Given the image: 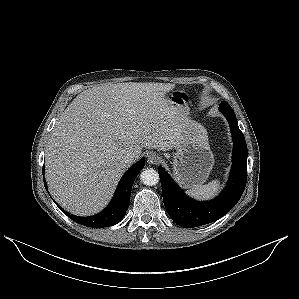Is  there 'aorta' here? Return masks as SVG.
<instances>
[{"label":"aorta","instance_id":"1","mask_svg":"<svg viewBox=\"0 0 299 299\" xmlns=\"http://www.w3.org/2000/svg\"><path fill=\"white\" fill-rule=\"evenodd\" d=\"M141 181L148 186H154L159 182V174L154 169H145L141 172Z\"/></svg>","mask_w":299,"mask_h":299}]
</instances>
